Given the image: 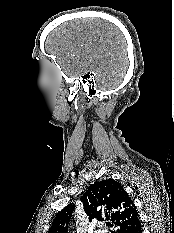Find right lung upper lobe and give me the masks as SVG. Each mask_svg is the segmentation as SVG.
Segmentation results:
<instances>
[{
	"label": "right lung upper lobe",
	"mask_w": 174,
	"mask_h": 233,
	"mask_svg": "<svg viewBox=\"0 0 174 233\" xmlns=\"http://www.w3.org/2000/svg\"><path fill=\"white\" fill-rule=\"evenodd\" d=\"M89 221L113 222L112 233H131L141 225L136 207L122 185L107 179L92 184L80 199ZM75 204L70 203L53 220L48 233H67Z\"/></svg>",
	"instance_id": "obj_1"
}]
</instances>
